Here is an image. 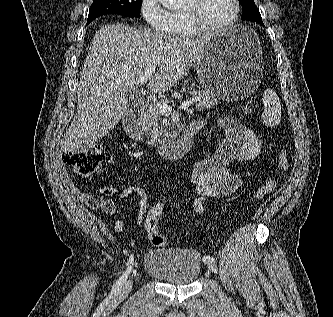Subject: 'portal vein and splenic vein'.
<instances>
[{"instance_id":"obj_1","label":"portal vein and splenic vein","mask_w":333,"mask_h":317,"mask_svg":"<svg viewBox=\"0 0 333 317\" xmlns=\"http://www.w3.org/2000/svg\"><path fill=\"white\" fill-rule=\"evenodd\" d=\"M155 68L150 69V74L152 72H154ZM198 98H191L189 100L184 101L181 105H180V109H187L188 107H190L191 105H193L194 102H197ZM157 106V108L160 110V112H162L164 115H168L172 112V107L167 105L164 102H159L155 104Z\"/></svg>"}]
</instances>
